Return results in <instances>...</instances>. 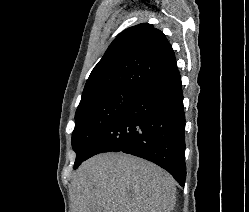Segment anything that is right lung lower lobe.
Masks as SVG:
<instances>
[{"label":"right lung lower lobe","mask_w":249,"mask_h":212,"mask_svg":"<svg viewBox=\"0 0 249 212\" xmlns=\"http://www.w3.org/2000/svg\"><path fill=\"white\" fill-rule=\"evenodd\" d=\"M185 115L179 71L141 91L108 125L86 159L103 152H124L167 170L184 186Z\"/></svg>","instance_id":"right-lung-lower-lobe-1"}]
</instances>
